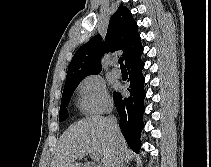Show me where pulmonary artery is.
I'll return each instance as SVG.
<instances>
[{
	"instance_id": "1",
	"label": "pulmonary artery",
	"mask_w": 211,
	"mask_h": 167,
	"mask_svg": "<svg viewBox=\"0 0 211 167\" xmlns=\"http://www.w3.org/2000/svg\"><path fill=\"white\" fill-rule=\"evenodd\" d=\"M114 68L112 69V74L115 76V77H120L121 76V71L116 67V65L114 64Z\"/></svg>"
}]
</instances>
